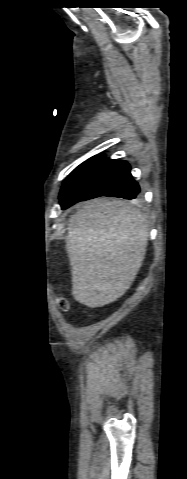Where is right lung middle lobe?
I'll list each match as a JSON object with an SVG mask.
<instances>
[{
    "instance_id": "dd1d6c3e",
    "label": "right lung middle lobe",
    "mask_w": 187,
    "mask_h": 479,
    "mask_svg": "<svg viewBox=\"0 0 187 479\" xmlns=\"http://www.w3.org/2000/svg\"><path fill=\"white\" fill-rule=\"evenodd\" d=\"M104 159V156H94L89 160L85 161L81 165H79L65 180L61 192L60 197L77 181L84 173L90 170L93 166L99 163L101 160Z\"/></svg>"
}]
</instances>
